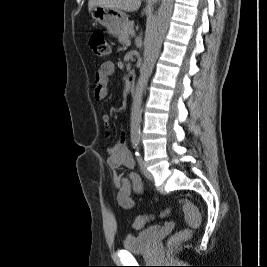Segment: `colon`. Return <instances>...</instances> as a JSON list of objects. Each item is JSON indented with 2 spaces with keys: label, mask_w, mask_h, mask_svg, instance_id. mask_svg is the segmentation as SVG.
Listing matches in <instances>:
<instances>
[{
  "label": "colon",
  "mask_w": 267,
  "mask_h": 267,
  "mask_svg": "<svg viewBox=\"0 0 267 267\" xmlns=\"http://www.w3.org/2000/svg\"><path fill=\"white\" fill-rule=\"evenodd\" d=\"M89 45L97 56L105 57L110 54V46L105 40L103 34L100 32H96L91 35ZM179 203L183 207L188 227L177 231L168 239V245L170 246L187 240L191 236L192 229L197 228L201 223L200 212L192 202L187 199H180ZM168 212L169 211L166 210L163 215H166ZM149 219L150 217L147 215L137 216L133 221V227L135 229H141L146 225Z\"/></svg>",
  "instance_id": "1"
}]
</instances>
